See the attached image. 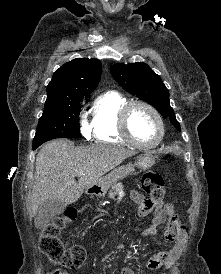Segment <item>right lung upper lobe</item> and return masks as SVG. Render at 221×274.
Returning <instances> with one entry per match:
<instances>
[{
    "instance_id": "obj_1",
    "label": "right lung upper lobe",
    "mask_w": 221,
    "mask_h": 274,
    "mask_svg": "<svg viewBox=\"0 0 221 274\" xmlns=\"http://www.w3.org/2000/svg\"><path fill=\"white\" fill-rule=\"evenodd\" d=\"M101 63L97 59L77 58L54 73L47 86V100L58 101L89 95L98 85Z\"/></svg>"
}]
</instances>
